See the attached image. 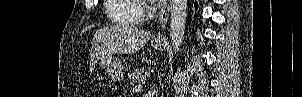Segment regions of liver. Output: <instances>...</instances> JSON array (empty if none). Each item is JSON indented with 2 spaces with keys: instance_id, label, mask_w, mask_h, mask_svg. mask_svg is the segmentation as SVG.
<instances>
[{
  "instance_id": "liver-1",
  "label": "liver",
  "mask_w": 302,
  "mask_h": 97,
  "mask_svg": "<svg viewBox=\"0 0 302 97\" xmlns=\"http://www.w3.org/2000/svg\"><path fill=\"white\" fill-rule=\"evenodd\" d=\"M151 33L135 26L114 25L95 32L90 50V71L95 63L112 53L134 54L150 40Z\"/></svg>"
}]
</instances>
